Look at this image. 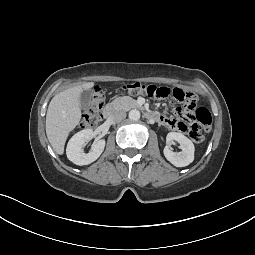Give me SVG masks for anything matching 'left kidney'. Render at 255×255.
I'll list each match as a JSON object with an SVG mask.
<instances>
[{
	"mask_svg": "<svg viewBox=\"0 0 255 255\" xmlns=\"http://www.w3.org/2000/svg\"><path fill=\"white\" fill-rule=\"evenodd\" d=\"M180 143L181 152L175 153L172 151L170 144L173 141ZM167 145L164 148L165 158L176 167L188 166L194 160V144L182 133L170 132L166 137Z\"/></svg>",
	"mask_w": 255,
	"mask_h": 255,
	"instance_id": "left-kidney-1",
	"label": "left kidney"
}]
</instances>
